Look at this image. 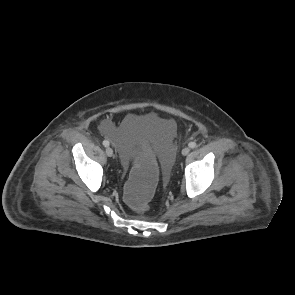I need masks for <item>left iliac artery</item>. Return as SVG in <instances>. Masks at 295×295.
<instances>
[{"instance_id":"left-iliac-artery-1","label":"left iliac artery","mask_w":295,"mask_h":295,"mask_svg":"<svg viewBox=\"0 0 295 295\" xmlns=\"http://www.w3.org/2000/svg\"><path fill=\"white\" fill-rule=\"evenodd\" d=\"M189 147H190L191 149H194V148L196 147V143H195V142H190V143H189Z\"/></svg>"}]
</instances>
